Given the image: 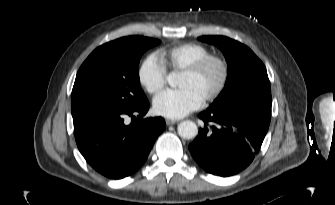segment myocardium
I'll return each instance as SVG.
<instances>
[{
	"label": "myocardium",
	"mask_w": 335,
	"mask_h": 205,
	"mask_svg": "<svg viewBox=\"0 0 335 205\" xmlns=\"http://www.w3.org/2000/svg\"><path fill=\"white\" fill-rule=\"evenodd\" d=\"M212 64H217L219 66L221 74H220V79H219V82L216 88L212 92L204 96V99L207 101L215 100L224 91L228 83L229 74H230L229 65L227 61L219 55L210 54L198 60L191 66L182 70V73L192 75V76H198Z\"/></svg>",
	"instance_id": "myocardium-1"
}]
</instances>
